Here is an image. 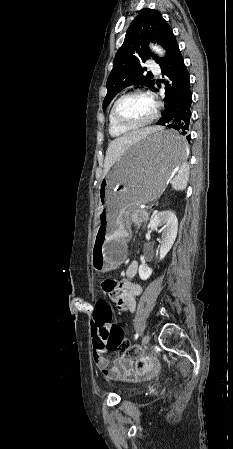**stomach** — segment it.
<instances>
[{"label": "stomach", "mask_w": 233, "mask_h": 449, "mask_svg": "<svg viewBox=\"0 0 233 449\" xmlns=\"http://www.w3.org/2000/svg\"><path fill=\"white\" fill-rule=\"evenodd\" d=\"M187 155L188 145L182 133H175V128H158L131 145L107 173L100 189L103 208L92 254L95 271L108 272L122 264L127 248L128 212L158 199Z\"/></svg>", "instance_id": "0dacf381"}]
</instances>
